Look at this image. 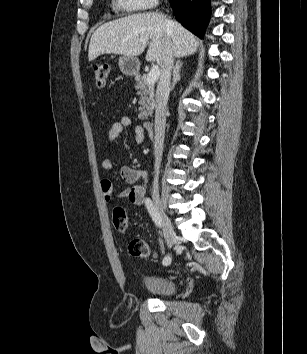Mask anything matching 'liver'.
Here are the masks:
<instances>
[{"instance_id": "6515ba94", "label": "liver", "mask_w": 307, "mask_h": 354, "mask_svg": "<svg viewBox=\"0 0 307 354\" xmlns=\"http://www.w3.org/2000/svg\"><path fill=\"white\" fill-rule=\"evenodd\" d=\"M166 22L169 26H166ZM146 60L161 62L164 46L169 40L175 57H186L196 52L201 41L180 23L159 13L134 14L100 26L91 36L88 60L102 54L136 57L149 43Z\"/></svg>"}]
</instances>
